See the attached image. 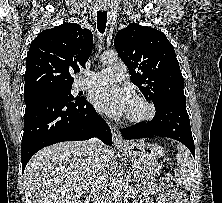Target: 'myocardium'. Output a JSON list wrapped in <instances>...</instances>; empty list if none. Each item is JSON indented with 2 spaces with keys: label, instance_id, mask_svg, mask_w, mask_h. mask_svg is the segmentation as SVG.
<instances>
[{
  "label": "myocardium",
  "instance_id": "myocardium-1",
  "mask_svg": "<svg viewBox=\"0 0 222 203\" xmlns=\"http://www.w3.org/2000/svg\"><path fill=\"white\" fill-rule=\"evenodd\" d=\"M133 100L143 106L144 112L138 116H126V121L128 123L141 124L154 117L155 107L145 97L136 95L134 96Z\"/></svg>",
  "mask_w": 222,
  "mask_h": 203
}]
</instances>
